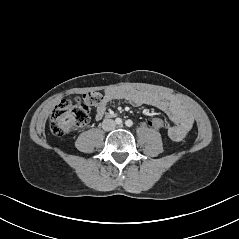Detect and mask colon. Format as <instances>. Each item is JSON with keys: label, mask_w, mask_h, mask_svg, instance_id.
I'll return each mask as SVG.
<instances>
[{"label": "colon", "mask_w": 239, "mask_h": 239, "mask_svg": "<svg viewBox=\"0 0 239 239\" xmlns=\"http://www.w3.org/2000/svg\"><path fill=\"white\" fill-rule=\"evenodd\" d=\"M101 100L102 95L98 92L85 93L75 100H62L52 111L51 132L56 136H65L75 128L85 126L89 121L91 107L98 105ZM146 122L150 128L161 134L168 130V122L157 113H150Z\"/></svg>", "instance_id": "5ec220e1"}]
</instances>
